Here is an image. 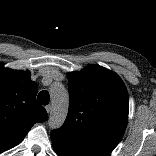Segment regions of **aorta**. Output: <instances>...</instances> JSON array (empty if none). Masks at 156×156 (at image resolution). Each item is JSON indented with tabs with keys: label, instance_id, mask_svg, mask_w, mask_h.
<instances>
[{
	"label": "aorta",
	"instance_id": "762f6f07",
	"mask_svg": "<svg viewBox=\"0 0 156 156\" xmlns=\"http://www.w3.org/2000/svg\"><path fill=\"white\" fill-rule=\"evenodd\" d=\"M52 110L48 125L52 129L60 128L67 116L69 107V95L63 86H53L50 90Z\"/></svg>",
	"mask_w": 156,
	"mask_h": 156
}]
</instances>
